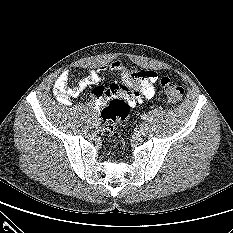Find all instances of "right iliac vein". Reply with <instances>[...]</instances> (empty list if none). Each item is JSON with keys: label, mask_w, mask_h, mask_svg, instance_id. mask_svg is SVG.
<instances>
[{"label": "right iliac vein", "mask_w": 233, "mask_h": 233, "mask_svg": "<svg viewBox=\"0 0 233 233\" xmlns=\"http://www.w3.org/2000/svg\"><path fill=\"white\" fill-rule=\"evenodd\" d=\"M93 125L98 128L100 126V121L97 117L93 118Z\"/></svg>", "instance_id": "63e3f726"}]
</instances>
